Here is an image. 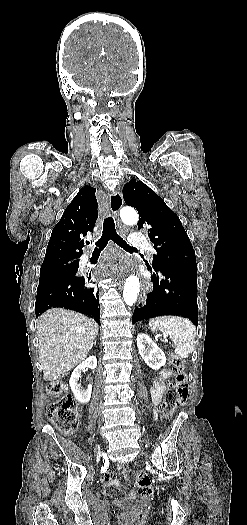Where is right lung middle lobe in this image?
<instances>
[{"label": "right lung middle lobe", "instance_id": "1", "mask_svg": "<svg viewBox=\"0 0 247 525\" xmlns=\"http://www.w3.org/2000/svg\"><path fill=\"white\" fill-rule=\"evenodd\" d=\"M77 259L78 258L57 260L48 267L40 270L39 282H42L52 277L76 273L79 266V261Z\"/></svg>", "mask_w": 247, "mask_h": 525}]
</instances>
